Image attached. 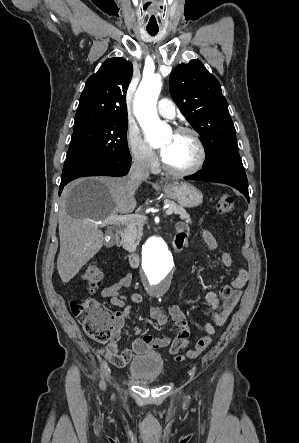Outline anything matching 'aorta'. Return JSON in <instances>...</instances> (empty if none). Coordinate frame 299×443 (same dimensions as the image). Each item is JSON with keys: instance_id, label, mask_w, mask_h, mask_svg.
Returning a JSON list of instances; mask_svg holds the SVG:
<instances>
[{"instance_id": "aorta-1", "label": "aorta", "mask_w": 299, "mask_h": 443, "mask_svg": "<svg viewBox=\"0 0 299 443\" xmlns=\"http://www.w3.org/2000/svg\"><path fill=\"white\" fill-rule=\"evenodd\" d=\"M162 87L161 77H144L134 97V113L150 144H160L170 127L163 123L156 110ZM142 268L149 282L151 295L164 293V279L173 268V256L162 237L151 236L145 243Z\"/></svg>"}]
</instances>
